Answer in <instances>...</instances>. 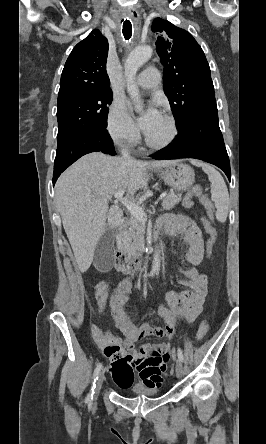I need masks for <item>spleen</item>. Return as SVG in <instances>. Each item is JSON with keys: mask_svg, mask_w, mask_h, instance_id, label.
<instances>
[{"mask_svg": "<svg viewBox=\"0 0 266 444\" xmlns=\"http://www.w3.org/2000/svg\"><path fill=\"white\" fill-rule=\"evenodd\" d=\"M191 163L202 167L203 171L208 175L211 183V199L217 208L216 217L220 222H225L228 215L229 194L223 177L217 170L206 163L195 160H192Z\"/></svg>", "mask_w": 266, "mask_h": 444, "instance_id": "1", "label": "spleen"}]
</instances>
